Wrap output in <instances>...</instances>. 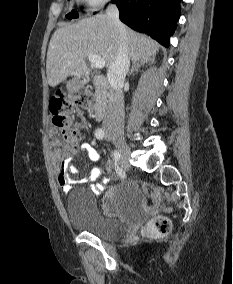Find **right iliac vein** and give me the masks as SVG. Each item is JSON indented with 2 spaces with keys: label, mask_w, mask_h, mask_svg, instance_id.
I'll return each mask as SVG.
<instances>
[{
  "label": "right iliac vein",
  "mask_w": 233,
  "mask_h": 284,
  "mask_svg": "<svg viewBox=\"0 0 233 284\" xmlns=\"http://www.w3.org/2000/svg\"><path fill=\"white\" fill-rule=\"evenodd\" d=\"M110 138L115 143L120 153L122 164L128 167L130 160V148L126 143L124 137L119 133H113L110 135Z\"/></svg>",
  "instance_id": "63e3f726"
}]
</instances>
